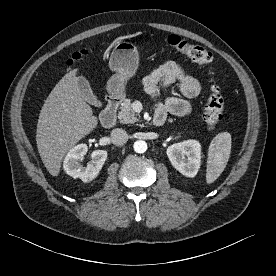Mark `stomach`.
I'll return each instance as SVG.
<instances>
[{
	"mask_svg": "<svg viewBox=\"0 0 276 276\" xmlns=\"http://www.w3.org/2000/svg\"><path fill=\"white\" fill-rule=\"evenodd\" d=\"M139 54L136 47L129 42L118 43L111 53L109 67L115 74L107 82V91L112 96L125 93L127 81L137 71Z\"/></svg>",
	"mask_w": 276,
	"mask_h": 276,
	"instance_id": "obj_1",
	"label": "stomach"
}]
</instances>
